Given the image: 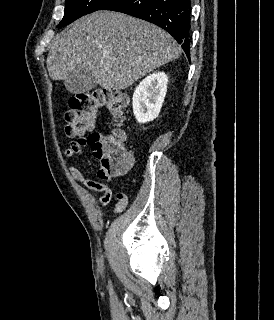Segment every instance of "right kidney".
<instances>
[{
  "mask_svg": "<svg viewBox=\"0 0 274 320\" xmlns=\"http://www.w3.org/2000/svg\"><path fill=\"white\" fill-rule=\"evenodd\" d=\"M167 84L168 78L165 72H154L135 88L132 108L139 124H147L158 118L165 100Z\"/></svg>",
  "mask_w": 274,
  "mask_h": 320,
  "instance_id": "1",
  "label": "right kidney"
}]
</instances>
